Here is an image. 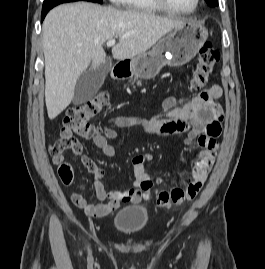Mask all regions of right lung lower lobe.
<instances>
[{
	"label": "right lung lower lobe",
	"instance_id": "98d812e1",
	"mask_svg": "<svg viewBox=\"0 0 265 269\" xmlns=\"http://www.w3.org/2000/svg\"><path fill=\"white\" fill-rule=\"evenodd\" d=\"M75 1H88V0H44L42 7L41 21H43L48 11L52 9L54 6L61 3L75 2Z\"/></svg>",
	"mask_w": 265,
	"mask_h": 269
}]
</instances>
